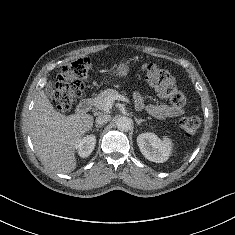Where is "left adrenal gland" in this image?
<instances>
[{
  "label": "left adrenal gland",
  "mask_w": 235,
  "mask_h": 235,
  "mask_svg": "<svg viewBox=\"0 0 235 235\" xmlns=\"http://www.w3.org/2000/svg\"><path fill=\"white\" fill-rule=\"evenodd\" d=\"M135 121L138 125H140L142 122H145L144 119H137V118H135Z\"/></svg>",
  "instance_id": "obj_1"
}]
</instances>
